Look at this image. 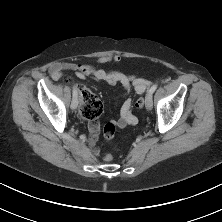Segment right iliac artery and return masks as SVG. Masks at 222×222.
<instances>
[{
    "label": "right iliac artery",
    "mask_w": 222,
    "mask_h": 222,
    "mask_svg": "<svg viewBox=\"0 0 222 222\" xmlns=\"http://www.w3.org/2000/svg\"><path fill=\"white\" fill-rule=\"evenodd\" d=\"M77 95H78L77 90L73 88V98H77Z\"/></svg>",
    "instance_id": "obj_1"
}]
</instances>
